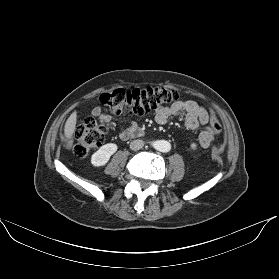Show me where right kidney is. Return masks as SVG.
<instances>
[{
	"mask_svg": "<svg viewBox=\"0 0 279 279\" xmlns=\"http://www.w3.org/2000/svg\"><path fill=\"white\" fill-rule=\"evenodd\" d=\"M117 149L118 147L114 143L103 145L91 156V164L95 167L104 166Z\"/></svg>",
	"mask_w": 279,
	"mask_h": 279,
	"instance_id": "1",
	"label": "right kidney"
}]
</instances>
